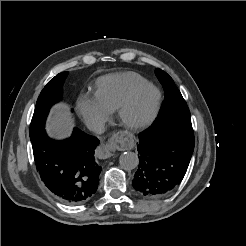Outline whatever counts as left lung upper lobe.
<instances>
[{"label": "left lung upper lobe", "instance_id": "left-lung-upper-lobe-1", "mask_svg": "<svg viewBox=\"0 0 246 246\" xmlns=\"http://www.w3.org/2000/svg\"><path fill=\"white\" fill-rule=\"evenodd\" d=\"M155 74L165 91V100L153 124L191 122L188 106L173 79L159 68L155 70Z\"/></svg>", "mask_w": 246, "mask_h": 246}]
</instances>
